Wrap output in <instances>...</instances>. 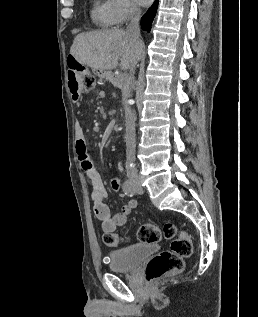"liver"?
Listing matches in <instances>:
<instances>
[{"label": "liver", "mask_w": 258, "mask_h": 317, "mask_svg": "<svg viewBox=\"0 0 258 317\" xmlns=\"http://www.w3.org/2000/svg\"><path fill=\"white\" fill-rule=\"evenodd\" d=\"M141 48V40L132 38L130 32L112 28V30L79 32L73 40L70 54L81 64L106 72L118 66L119 56H122L121 68L124 70L130 68L140 56Z\"/></svg>", "instance_id": "obj_1"}]
</instances>
